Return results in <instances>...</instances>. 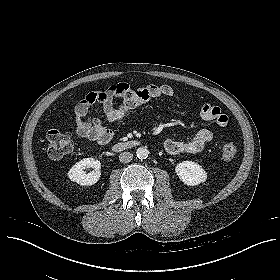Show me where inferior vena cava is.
I'll use <instances>...</instances> for the list:
<instances>
[{"mask_svg":"<svg viewBox=\"0 0 280 280\" xmlns=\"http://www.w3.org/2000/svg\"><path fill=\"white\" fill-rule=\"evenodd\" d=\"M133 159V154L130 152H122L119 155V160L122 163H128Z\"/></svg>","mask_w":280,"mask_h":280,"instance_id":"602c4592","label":"inferior vena cava"}]
</instances>
